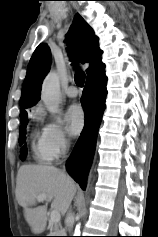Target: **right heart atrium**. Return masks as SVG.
Instances as JSON below:
<instances>
[{
    "mask_svg": "<svg viewBox=\"0 0 158 237\" xmlns=\"http://www.w3.org/2000/svg\"><path fill=\"white\" fill-rule=\"evenodd\" d=\"M42 135L45 149L52 158H59L69 146L70 140L66 131L56 122L47 123Z\"/></svg>",
    "mask_w": 158,
    "mask_h": 237,
    "instance_id": "obj_1",
    "label": "right heart atrium"
}]
</instances>
